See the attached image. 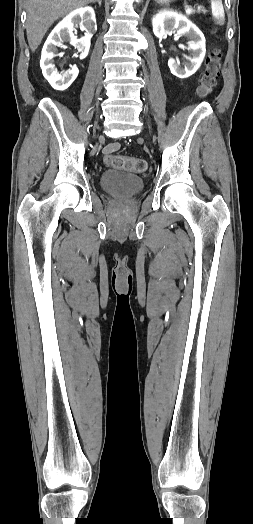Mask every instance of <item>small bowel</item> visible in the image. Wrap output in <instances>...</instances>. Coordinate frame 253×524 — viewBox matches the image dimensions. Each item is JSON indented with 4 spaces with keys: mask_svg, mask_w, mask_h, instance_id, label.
Masks as SVG:
<instances>
[{
    "mask_svg": "<svg viewBox=\"0 0 253 524\" xmlns=\"http://www.w3.org/2000/svg\"><path fill=\"white\" fill-rule=\"evenodd\" d=\"M119 147H120L119 143H116V142L110 143V144L105 146L104 152L107 153V154L113 153V152L117 151L119 149Z\"/></svg>",
    "mask_w": 253,
    "mask_h": 524,
    "instance_id": "1",
    "label": "small bowel"
}]
</instances>
